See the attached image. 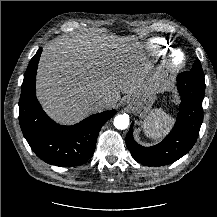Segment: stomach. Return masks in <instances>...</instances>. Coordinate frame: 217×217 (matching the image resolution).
<instances>
[{
	"mask_svg": "<svg viewBox=\"0 0 217 217\" xmlns=\"http://www.w3.org/2000/svg\"><path fill=\"white\" fill-rule=\"evenodd\" d=\"M155 99V93L147 92L139 96L128 98L127 103L139 114L140 117H145L151 111Z\"/></svg>",
	"mask_w": 217,
	"mask_h": 217,
	"instance_id": "stomach-1",
	"label": "stomach"
}]
</instances>
